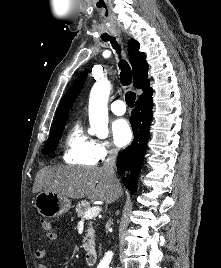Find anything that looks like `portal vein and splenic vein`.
<instances>
[{
	"label": "portal vein and splenic vein",
	"mask_w": 221,
	"mask_h": 268,
	"mask_svg": "<svg viewBox=\"0 0 221 268\" xmlns=\"http://www.w3.org/2000/svg\"><path fill=\"white\" fill-rule=\"evenodd\" d=\"M100 211H101V208L99 206L91 207L84 213V218L85 219L93 218L97 216Z\"/></svg>",
	"instance_id": "obj_1"
}]
</instances>
